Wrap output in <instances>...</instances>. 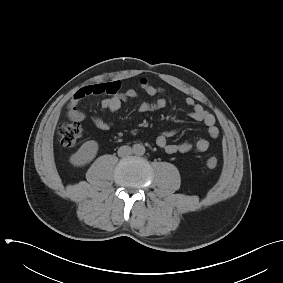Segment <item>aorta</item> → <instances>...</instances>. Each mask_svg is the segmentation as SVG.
Returning a JSON list of instances; mask_svg holds the SVG:
<instances>
[{
    "mask_svg": "<svg viewBox=\"0 0 283 283\" xmlns=\"http://www.w3.org/2000/svg\"><path fill=\"white\" fill-rule=\"evenodd\" d=\"M133 150H134V153L137 155H143L145 153V147L141 144H136Z\"/></svg>",
    "mask_w": 283,
    "mask_h": 283,
    "instance_id": "1",
    "label": "aorta"
}]
</instances>
